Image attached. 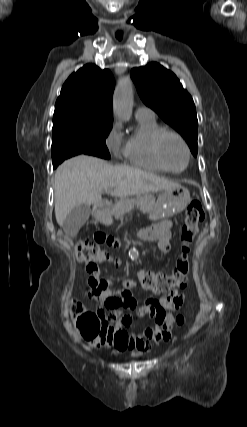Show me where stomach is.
Instances as JSON below:
<instances>
[{
	"label": "stomach",
	"instance_id": "0dacf381",
	"mask_svg": "<svg viewBox=\"0 0 247 427\" xmlns=\"http://www.w3.org/2000/svg\"><path fill=\"white\" fill-rule=\"evenodd\" d=\"M191 200L187 188L178 185L176 187L161 191L151 213L154 218H168L182 212ZM97 219L106 225L112 223L108 213H99Z\"/></svg>",
	"mask_w": 247,
	"mask_h": 427
}]
</instances>
